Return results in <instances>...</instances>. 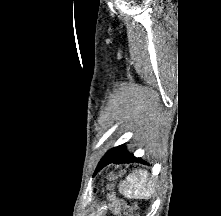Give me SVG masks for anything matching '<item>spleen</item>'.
<instances>
[{
	"label": "spleen",
	"instance_id": "3e777b00",
	"mask_svg": "<svg viewBox=\"0 0 221 216\" xmlns=\"http://www.w3.org/2000/svg\"><path fill=\"white\" fill-rule=\"evenodd\" d=\"M120 190L128 198H144L155 192L154 184L145 170H139L127 176L120 184Z\"/></svg>",
	"mask_w": 221,
	"mask_h": 216
}]
</instances>
